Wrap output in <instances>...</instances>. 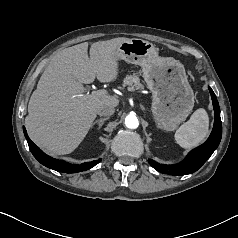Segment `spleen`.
<instances>
[{
	"label": "spleen",
	"mask_w": 238,
	"mask_h": 238,
	"mask_svg": "<svg viewBox=\"0 0 238 238\" xmlns=\"http://www.w3.org/2000/svg\"><path fill=\"white\" fill-rule=\"evenodd\" d=\"M209 134V117L205 109H197L175 133V141L182 148L198 146Z\"/></svg>",
	"instance_id": "spleen-1"
}]
</instances>
